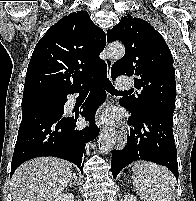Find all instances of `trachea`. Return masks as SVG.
<instances>
[{"mask_svg": "<svg viewBox=\"0 0 196 201\" xmlns=\"http://www.w3.org/2000/svg\"><path fill=\"white\" fill-rule=\"evenodd\" d=\"M104 88L106 89L107 92L111 93V94H118V93H124L122 91H117L115 89V87L112 85L111 81H109L108 79L105 80L104 82Z\"/></svg>", "mask_w": 196, "mask_h": 201, "instance_id": "obj_1", "label": "trachea"}]
</instances>
